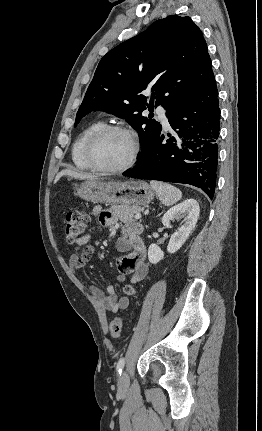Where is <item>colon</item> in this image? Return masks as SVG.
Wrapping results in <instances>:
<instances>
[{
  "label": "colon",
  "mask_w": 262,
  "mask_h": 431,
  "mask_svg": "<svg viewBox=\"0 0 262 431\" xmlns=\"http://www.w3.org/2000/svg\"><path fill=\"white\" fill-rule=\"evenodd\" d=\"M90 223L89 215L79 209H72L66 214L65 218V238L73 243L88 227ZM124 291L127 295H134L135 291L131 286H125ZM123 325L122 318H115L110 321L108 331L111 337L118 338L121 334Z\"/></svg>",
  "instance_id": "1"
}]
</instances>
